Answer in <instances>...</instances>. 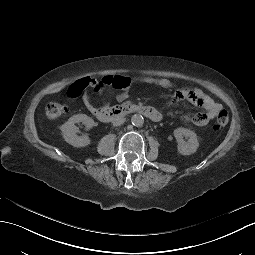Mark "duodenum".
I'll return each mask as SVG.
<instances>
[{
  "instance_id": "410a0bca",
  "label": "duodenum",
  "mask_w": 255,
  "mask_h": 255,
  "mask_svg": "<svg viewBox=\"0 0 255 255\" xmlns=\"http://www.w3.org/2000/svg\"><path fill=\"white\" fill-rule=\"evenodd\" d=\"M91 113L100 121L111 122L129 114L138 113L148 119L158 122L162 119V115L153 107L139 104H127L113 107L93 108Z\"/></svg>"
}]
</instances>
